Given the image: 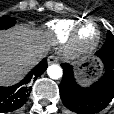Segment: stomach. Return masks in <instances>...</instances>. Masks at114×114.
<instances>
[{
	"mask_svg": "<svg viewBox=\"0 0 114 114\" xmlns=\"http://www.w3.org/2000/svg\"><path fill=\"white\" fill-rule=\"evenodd\" d=\"M102 73L101 65L95 61L91 60L89 64H86L80 68H78L77 75L82 80L94 79L98 77Z\"/></svg>",
	"mask_w": 114,
	"mask_h": 114,
	"instance_id": "1",
	"label": "stomach"
}]
</instances>
